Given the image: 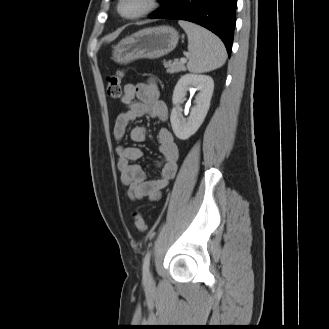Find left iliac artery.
<instances>
[{
  "instance_id": "obj_1",
  "label": "left iliac artery",
  "mask_w": 329,
  "mask_h": 329,
  "mask_svg": "<svg viewBox=\"0 0 329 329\" xmlns=\"http://www.w3.org/2000/svg\"><path fill=\"white\" fill-rule=\"evenodd\" d=\"M150 256L151 252L148 251L143 261V274L145 276L149 275Z\"/></svg>"
}]
</instances>
